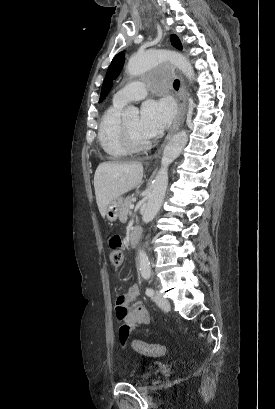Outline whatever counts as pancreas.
I'll list each match as a JSON object with an SVG mask.
<instances>
[{"mask_svg": "<svg viewBox=\"0 0 275 409\" xmlns=\"http://www.w3.org/2000/svg\"><path fill=\"white\" fill-rule=\"evenodd\" d=\"M132 196H126L123 205H121L119 209V221L121 223H124V221H127V215L128 213H131L130 211V205H132Z\"/></svg>", "mask_w": 275, "mask_h": 409, "instance_id": "obj_1", "label": "pancreas"}]
</instances>
